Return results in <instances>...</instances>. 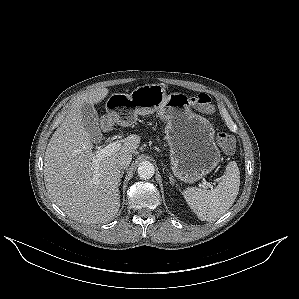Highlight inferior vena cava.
I'll list each match as a JSON object with an SVG mask.
<instances>
[{
    "label": "inferior vena cava",
    "instance_id": "1",
    "mask_svg": "<svg viewBox=\"0 0 299 299\" xmlns=\"http://www.w3.org/2000/svg\"><path fill=\"white\" fill-rule=\"evenodd\" d=\"M132 161V155L130 153H124L117 160V166L122 169L129 166Z\"/></svg>",
    "mask_w": 299,
    "mask_h": 299
}]
</instances>
